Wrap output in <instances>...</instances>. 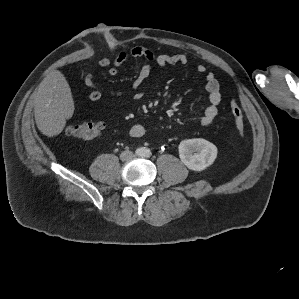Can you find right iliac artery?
Listing matches in <instances>:
<instances>
[{"label":"right iliac artery","mask_w":299,"mask_h":299,"mask_svg":"<svg viewBox=\"0 0 299 299\" xmlns=\"http://www.w3.org/2000/svg\"><path fill=\"white\" fill-rule=\"evenodd\" d=\"M143 154V150L137 149L136 150V155L141 156Z\"/></svg>","instance_id":"82829eb1"}]
</instances>
